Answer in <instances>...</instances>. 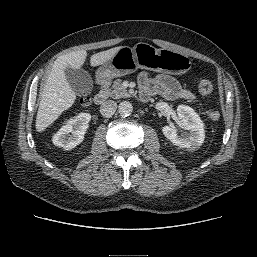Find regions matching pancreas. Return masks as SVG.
I'll return each mask as SVG.
<instances>
[{"label": "pancreas", "instance_id": "obj_1", "mask_svg": "<svg viewBox=\"0 0 257 257\" xmlns=\"http://www.w3.org/2000/svg\"><path fill=\"white\" fill-rule=\"evenodd\" d=\"M103 92H105L106 96H110L114 99L127 98L130 96L120 79L115 80L112 87L106 88Z\"/></svg>", "mask_w": 257, "mask_h": 257}]
</instances>
